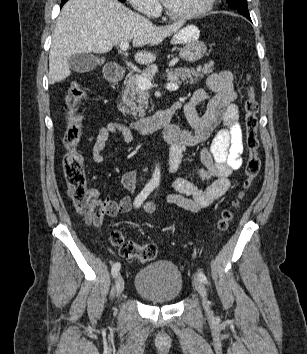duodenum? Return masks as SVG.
I'll return each instance as SVG.
<instances>
[{
	"instance_id": "410a0bca",
	"label": "duodenum",
	"mask_w": 307,
	"mask_h": 354,
	"mask_svg": "<svg viewBox=\"0 0 307 354\" xmlns=\"http://www.w3.org/2000/svg\"><path fill=\"white\" fill-rule=\"evenodd\" d=\"M106 76L111 83H120L125 77V71L120 66H112L108 68ZM174 113V109L159 111L151 116L130 123L129 128L140 134H147L169 125Z\"/></svg>"
}]
</instances>
